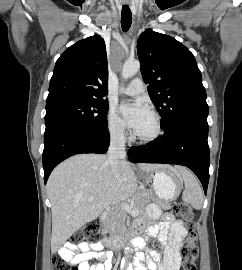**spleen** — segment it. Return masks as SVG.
<instances>
[{"label": "spleen", "mask_w": 242, "mask_h": 270, "mask_svg": "<svg viewBox=\"0 0 242 270\" xmlns=\"http://www.w3.org/2000/svg\"><path fill=\"white\" fill-rule=\"evenodd\" d=\"M177 170L182 175L185 184L182 199L190 203L195 209H201L203 205V193L198 181L187 169L178 167Z\"/></svg>", "instance_id": "3e777b00"}]
</instances>
